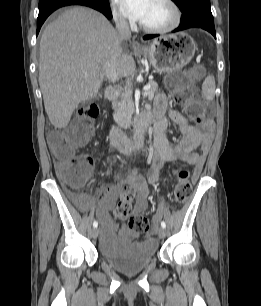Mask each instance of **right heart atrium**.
<instances>
[{
  "mask_svg": "<svg viewBox=\"0 0 261 306\" xmlns=\"http://www.w3.org/2000/svg\"><path fill=\"white\" fill-rule=\"evenodd\" d=\"M114 17L119 25L125 26L127 24L125 17L116 8H114Z\"/></svg>",
  "mask_w": 261,
  "mask_h": 306,
  "instance_id": "obj_1",
  "label": "right heart atrium"
}]
</instances>
